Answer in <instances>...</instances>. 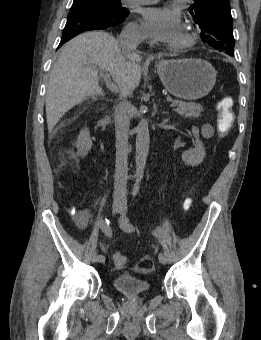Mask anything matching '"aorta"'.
Wrapping results in <instances>:
<instances>
[{
	"label": "aorta",
	"mask_w": 261,
	"mask_h": 340,
	"mask_svg": "<svg viewBox=\"0 0 261 340\" xmlns=\"http://www.w3.org/2000/svg\"><path fill=\"white\" fill-rule=\"evenodd\" d=\"M149 126L146 118H142L136 127V173L135 183L132 189L134 194L138 193L141 179L143 178L144 169L146 166L148 151H149Z\"/></svg>",
	"instance_id": "aorta-1"
}]
</instances>
